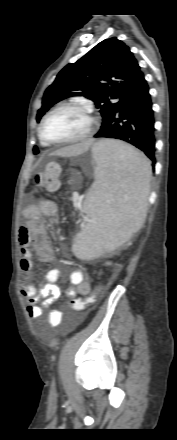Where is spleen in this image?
Listing matches in <instances>:
<instances>
[{"mask_svg": "<svg viewBox=\"0 0 177 440\" xmlns=\"http://www.w3.org/2000/svg\"><path fill=\"white\" fill-rule=\"evenodd\" d=\"M95 182L83 204L90 222L76 235L72 251L92 259L125 243L144 223L151 166L131 146L103 140L92 150Z\"/></svg>", "mask_w": 177, "mask_h": 440, "instance_id": "3e777b00", "label": "spleen"}]
</instances>
